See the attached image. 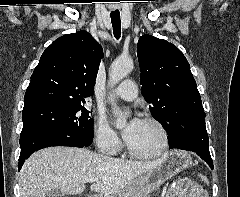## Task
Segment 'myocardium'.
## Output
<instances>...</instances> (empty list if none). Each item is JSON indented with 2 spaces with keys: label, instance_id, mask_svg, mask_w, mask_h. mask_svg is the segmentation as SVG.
<instances>
[{
  "label": "myocardium",
  "instance_id": "myocardium-1",
  "mask_svg": "<svg viewBox=\"0 0 240 197\" xmlns=\"http://www.w3.org/2000/svg\"><path fill=\"white\" fill-rule=\"evenodd\" d=\"M142 121L153 124L160 132L161 144L158 149L152 152H137L126 143L125 149L128 155L136 159H152L161 156L169 147V134L165 125L157 118L145 116Z\"/></svg>",
  "mask_w": 240,
  "mask_h": 197
}]
</instances>
